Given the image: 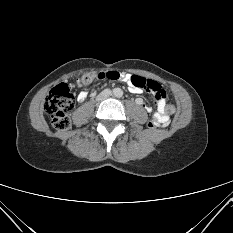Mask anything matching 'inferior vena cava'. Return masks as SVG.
<instances>
[{
  "label": "inferior vena cava",
  "instance_id": "obj_1",
  "mask_svg": "<svg viewBox=\"0 0 233 233\" xmlns=\"http://www.w3.org/2000/svg\"><path fill=\"white\" fill-rule=\"evenodd\" d=\"M110 95H111V92L109 90H104L98 95V98L102 100V99L109 97Z\"/></svg>",
  "mask_w": 233,
  "mask_h": 233
}]
</instances>
